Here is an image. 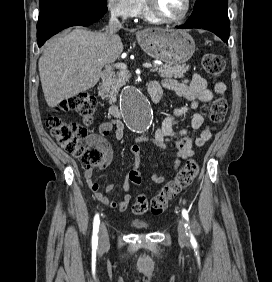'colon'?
Instances as JSON below:
<instances>
[{
	"instance_id": "colon-1",
	"label": "colon",
	"mask_w": 272,
	"mask_h": 282,
	"mask_svg": "<svg viewBox=\"0 0 272 282\" xmlns=\"http://www.w3.org/2000/svg\"><path fill=\"white\" fill-rule=\"evenodd\" d=\"M201 64L204 71L214 77H218L224 71L225 66L222 57L212 53L204 54ZM96 105L97 102L93 96L87 92H80L62 101L46 119V125L57 143L67 153L78 158L82 167L87 170H92L102 163L104 159L103 149L98 144H85L88 137L85 126L64 121L56 113L73 111L83 118L85 125H89L93 120ZM227 108L228 104L224 97L215 99L210 109L211 120L213 122L222 121ZM198 171V163L194 160L188 161L174 179L164 185L151 200H148L144 195H139L133 204V213L137 215L147 212L153 214L163 213L169 202L192 184ZM129 180L134 185L141 183V177L135 171L129 174Z\"/></svg>"
}]
</instances>
